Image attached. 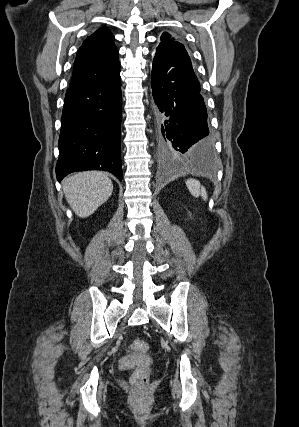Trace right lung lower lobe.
<instances>
[{"instance_id":"1","label":"right lung lower lobe","mask_w":299,"mask_h":427,"mask_svg":"<svg viewBox=\"0 0 299 427\" xmlns=\"http://www.w3.org/2000/svg\"><path fill=\"white\" fill-rule=\"evenodd\" d=\"M120 69L107 79L67 90L56 175L83 170L112 172L122 180Z\"/></svg>"}]
</instances>
